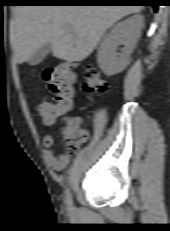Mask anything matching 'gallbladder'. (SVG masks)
Returning <instances> with one entry per match:
<instances>
[{
	"label": "gallbladder",
	"mask_w": 170,
	"mask_h": 231,
	"mask_svg": "<svg viewBox=\"0 0 170 231\" xmlns=\"http://www.w3.org/2000/svg\"><path fill=\"white\" fill-rule=\"evenodd\" d=\"M51 49V43H45L44 45H42L29 59V64L33 66L40 64L44 60V58L49 54Z\"/></svg>",
	"instance_id": "1"
}]
</instances>
